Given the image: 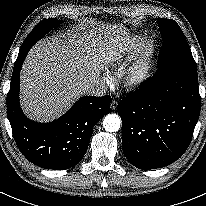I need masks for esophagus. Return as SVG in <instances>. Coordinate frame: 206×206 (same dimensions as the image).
Instances as JSON below:
<instances>
[{
	"instance_id": "esophagus-1",
	"label": "esophagus",
	"mask_w": 206,
	"mask_h": 206,
	"mask_svg": "<svg viewBox=\"0 0 206 206\" xmlns=\"http://www.w3.org/2000/svg\"><path fill=\"white\" fill-rule=\"evenodd\" d=\"M117 106H118V102L116 100H113L110 104L112 110H116Z\"/></svg>"
}]
</instances>
